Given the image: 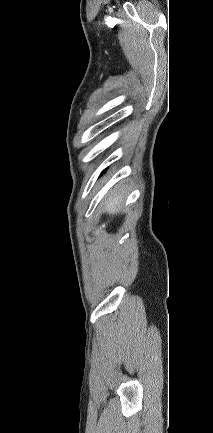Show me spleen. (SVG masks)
Returning a JSON list of instances; mask_svg holds the SVG:
<instances>
[{"label":"spleen","mask_w":213,"mask_h":433,"mask_svg":"<svg viewBox=\"0 0 213 433\" xmlns=\"http://www.w3.org/2000/svg\"><path fill=\"white\" fill-rule=\"evenodd\" d=\"M121 201H122L121 196H114V198L109 199V202H107V205H106L107 211L112 212V213L117 211L118 208L120 207Z\"/></svg>","instance_id":"obj_1"}]
</instances>
